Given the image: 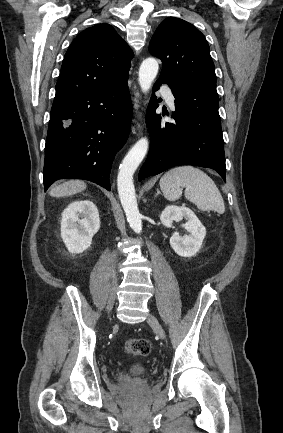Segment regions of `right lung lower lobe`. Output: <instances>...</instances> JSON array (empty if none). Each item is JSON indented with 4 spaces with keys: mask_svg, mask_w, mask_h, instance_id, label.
I'll return each instance as SVG.
<instances>
[{
    "mask_svg": "<svg viewBox=\"0 0 283 433\" xmlns=\"http://www.w3.org/2000/svg\"><path fill=\"white\" fill-rule=\"evenodd\" d=\"M128 77L116 87L55 100L45 146L44 188L58 179L78 178L110 188L116 153L132 119Z\"/></svg>",
    "mask_w": 283,
    "mask_h": 433,
    "instance_id": "right-lung-lower-lobe-1",
    "label": "right lung lower lobe"
}]
</instances>
